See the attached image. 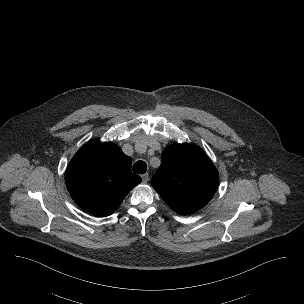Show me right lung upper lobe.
Segmentation results:
<instances>
[{
    "label": "right lung upper lobe",
    "instance_id": "cb5924a9",
    "mask_svg": "<svg viewBox=\"0 0 304 304\" xmlns=\"http://www.w3.org/2000/svg\"><path fill=\"white\" fill-rule=\"evenodd\" d=\"M132 160L112 142L92 140L69 163L65 181L76 204L94 216L111 215L141 182Z\"/></svg>",
    "mask_w": 304,
    "mask_h": 304
}]
</instances>
